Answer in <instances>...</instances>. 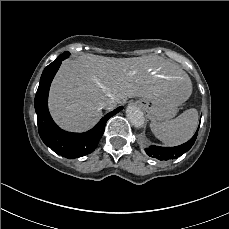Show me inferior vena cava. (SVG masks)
Segmentation results:
<instances>
[{"label":"inferior vena cava","mask_w":229,"mask_h":229,"mask_svg":"<svg viewBox=\"0 0 229 229\" xmlns=\"http://www.w3.org/2000/svg\"><path fill=\"white\" fill-rule=\"evenodd\" d=\"M116 105L117 103H115L114 101H106L103 105V108L112 109L116 107Z\"/></svg>","instance_id":"obj_1"}]
</instances>
